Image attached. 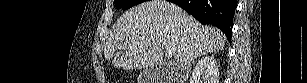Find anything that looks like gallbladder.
<instances>
[{
	"label": "gallbladder",
	"mask_w": 307,
	"mask_h": 83,
	"mask_svg": "<svg viewBox=\"0 0 307 83\" xmlns=\"http://www.w3.org/2000/svg\"><path fill=\"white\" fill-rule=\"evenodd\" d=\"M160 76V72L156 68H150L144 70L140 76H139V81L140 83H157Z\"/></svg>",
	"instance_id": "1"
}]
</instances>
